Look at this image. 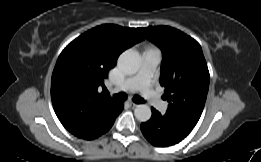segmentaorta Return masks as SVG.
Listing matches in <instances>:
<instances>
[{
	"mask_svg": "<svg viewBox=\"0 0 261 162\" xmlns=\"http://www.w3.org/2000/svg\"><path fill=\"white\" fill-rule=\"evenodd\" d=\"M118 66L125 74H134L140 67V56L134 50L124 51L118 58ZM134 115L137 120L146 122L151 118L152 112L148 105H137L134 110Z\"/></svg>",
	"mask_w": 261,
	"mask_h": 162,
	"instance_id": "obj_1",
	"label": "aorta"
}]
</instances>
